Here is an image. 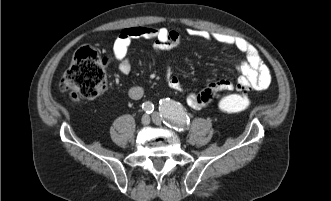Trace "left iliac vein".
Segmentation results:
<instances>
[{
	"instance_id": "left-iliac-vein-1",
	"label": "left iliac vein",
	"mask_w": 331,
	"mask_h": 201,
	"mask_svg": "<svg viewBox=\"0 0 331 201\" xmlns=\"http://www.w3.org/2000/svg\"><path fill=\"white\" fill-rule=\"evenodd\" d=\"M152 119H153V121L156 122L157 124L161 122L160 115H159L157 112L153 113V115H152Z\"/></svg>"
}]
</instances>
